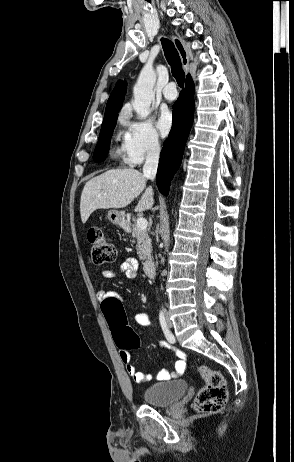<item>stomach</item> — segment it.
I'll return each instance as SVG.
<instances>
[{"label": "stomach", "instance_id": "0dacf381", "mask_svg": "<svg viewBox=\"0 0 294 462\" xmlns=\"http://www.w3.org/2000/svg\"><path fill=\"white\" fill-rule=\"evenodd\" d=\"M108 220L120 227H125L126 226V221L124 217V212L123 211H118V210H110L108 211L107 214Z\"/></svg>", "mask_w": 294, "mask_h": 462}]
</instances>
